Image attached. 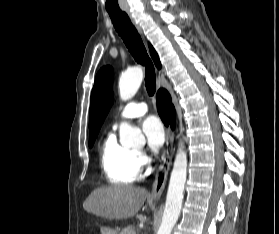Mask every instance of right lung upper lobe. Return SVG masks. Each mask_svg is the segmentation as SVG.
<instances>
[{"mask_svg":"<svg viewBox=\"0 0 279 234\" xmlns=\"http://www.w3.org/2000/svg\"><path fill=\"white\" fill-rule=\"evenodd\" d=\"M149 49H150V54H151V57H152L155 65L157 66V68H160L161 63H160L159 57H158L156 51L154 50V48L150 44H149Z\"/></svg>","mask_w":279,"mask_h":234,"instance_id":"1","label":"right lung upper lobe"}]
</instances>
